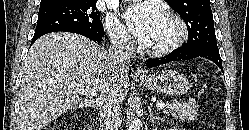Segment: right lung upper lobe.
I'll return each mask as SVG.
<instances>
[{
  "mask_svg": "<svg viewBox=\"0 0 249 130\" xmlns=\"http://www.w3.org/2000/svg\"><path fill=\"white\" fill-rule=\"evenodd\" d=\"M65 0H41L40 6H48L53 4L61 3Z\"/></svg>",
  "mask_w": 249,
  "mask_h": 130,
  "instance_id": "obj_1",
  "label": "right lung upper lobe"
}]
</instances>
